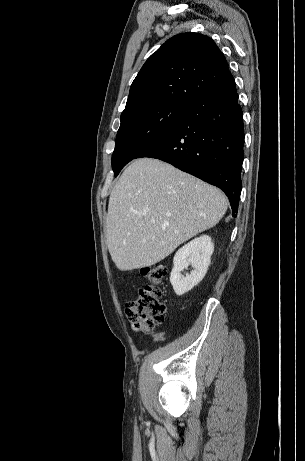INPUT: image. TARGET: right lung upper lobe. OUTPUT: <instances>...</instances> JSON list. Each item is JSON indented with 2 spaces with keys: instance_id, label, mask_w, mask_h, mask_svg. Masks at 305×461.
I'll use <instances>...</instances> for the list:
<instances>
[{
  "instance_id": "obj_1",
  "label": "right lung upper lobe",
  "mask_w": 305,
  "mask_h": 461,
  "mask_svg": "<svg viewBox=\"0 0 305 461\" xmlns=\"http://www.w3.org/2000/svg\"><path fill=\"white\" fill-rule=\"evenodd\" d=\"M232 78L226 58L211 38L191 32L175 35L137 74L121 117L163 102L190 104Z\"/></svg>"
}]
</instances>
